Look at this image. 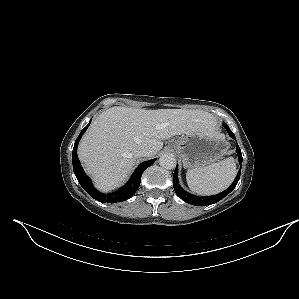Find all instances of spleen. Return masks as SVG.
<instances>
[{
	"mask_svg": "<svg viewBox=\"0 0 299 299\" xmlns=\"http://www.w3.org/2000/svg\"><path fill=\"white\" fill-rule=\"evenodd\" d=\"M236 176V164L232 157L203 168L188 169V187L199 195H213L226 189Z\"/></svg>",
	"mask_w": 299,
	"mask_h": 299,
	"instance_id": "obj_1",
	"label": "spleen"
}]
</instances>
